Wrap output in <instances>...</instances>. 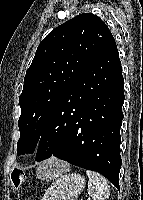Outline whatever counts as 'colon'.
<instances>
[{"label": "colon", "instance_id": "colon-1", "mask_svg": "<svg viewBox=\"0 0 143 200\" xmlns=\"http://www.w3.org/2000/svg\"><path fill=\"white\" fill-rule=\"evenodd\" d=\"M25 180V173L20 169H14L11 173V183L13 189L17 190Z\"/></svg>", "mask_w": 143, "mask_h": 200}]
</instances>
